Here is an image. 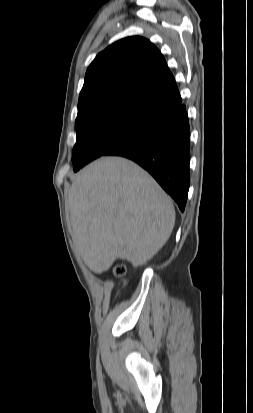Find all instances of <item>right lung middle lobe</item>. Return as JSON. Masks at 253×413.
I'll return each mask as SVG.
<instances>
[{
    "instance_id": "1",
    "label": "right lung middle lobe",
    "mask_w": 253,
    "mask_h": 413,
    "mask_svg": "<svg viewBox=\"0 0 253 413\" xmlns=\"http://www.w3.org/2000/svg\"><path fill=\"white\" fill-rule=\"evenodd\" d=\"M152 117L138 109L112 107L77 118V139L72 156L74 171L141 131Z\"/></svg>"
}]
</instances>
